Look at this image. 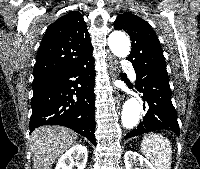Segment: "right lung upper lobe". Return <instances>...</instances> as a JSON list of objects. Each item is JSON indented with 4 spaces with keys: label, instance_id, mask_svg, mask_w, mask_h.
Here are the masks:
<instances>
[{
    "label": "right lung upper lobe",
    "instance_id": "obj_1",
    "mask_svg": "<svg viewBox=\"0 0 200 169\" xmlns=\"http://www.w3.org/2000/svg\"><path fill=\"white\" fill-rule=\"evenodd\" d=\"M83 16L72 11L51 24L39 46L34 80L72 69L92 55Z\"/></svg>",
    "mask_w": 200,
    "mask_h": 169
}]
</instances>
